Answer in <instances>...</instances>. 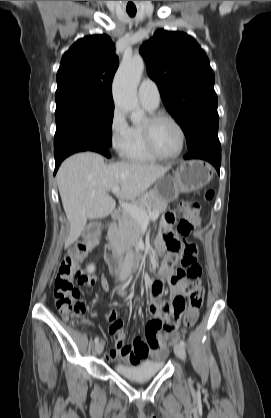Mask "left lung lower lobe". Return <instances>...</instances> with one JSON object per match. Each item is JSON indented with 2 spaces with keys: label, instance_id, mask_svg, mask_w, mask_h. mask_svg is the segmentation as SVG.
Wrapping results in <instances>:
<instances>
[{
  "label": "left lung lower lobe",
  "instance_id": "obj_1",
  "mask_svg": "<svg viewBox=\"0 0 271 418\" xmlns=\"http://www.w3.org/2000/svg\"><path fill=\"white\" fill-rule=\"evenodd\" d=\"M184 158L206 160L214 165L219 173L221 165V145L219 139L211 138L199 142L189 150V153Z\"/></svg>",
  "mask_w": 271,
  "mask_h": 418
}]
</instances>
